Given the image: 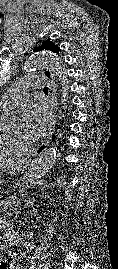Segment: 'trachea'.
<instances>
[{
  "mask_svg": "<svg viewBox=\"0 0 118 269\" xmlns=\"http://www.w3.org/2000/svg\"><path fill=\"white\" fill-rule=\"evenodd\" d=\"M43 92H44V93H48V87H44V88H43Z\"/></svg>",
  "mask_w": 118,
  "mask_h": 269,
  "instance_id": "obj_1",
  "label": "trachea"
}]
</instances>
